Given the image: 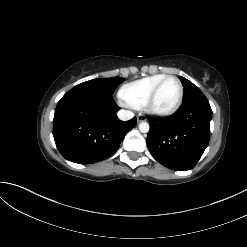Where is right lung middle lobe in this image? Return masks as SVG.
<instances>
[{
  "label": "right lung middle lobe",
  "instance_id": "1",
  "mask_svg": "<svg viewBox=\"0 0 247 247\" xmlns=\"http://www.w3.org/2000/svg\"><path fill=\"white\" fill-rule=\"evenodd\" d=\"M123 81L124 78L121 77L94 79L78 84L72 89L89 90V91L97 90L112 95L116 87Z\"/></svg>",
  "mask_w": 247,
  "mask_h": 247
}]
</instances>
